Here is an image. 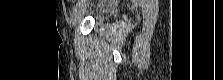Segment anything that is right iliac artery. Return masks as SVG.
<instances>
[{"mask_svg":"<svg viewBox=\"0 0 223 80\" xmlns=\"http://www.w3.org/2000/svg\"><path fill=\"white\" fill-rule=\"evenodd\" d=\"M80 5V2L76 5V7H78Z\"/></svg>","mask_w":223,"mask_h":80,"instance_id":"right-iliac-artery-1","label":"right iliac artery"}]
</instances>
